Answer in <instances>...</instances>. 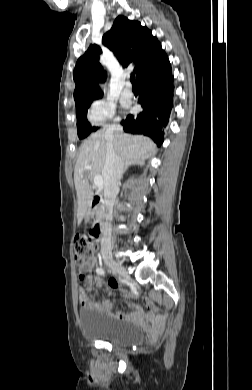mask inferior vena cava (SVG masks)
Wrapping results in <instances>:
<instances>
[{"mask_svg": "<svg viewBox=\"0 0 252 390\" xmlns=\"http://www.w3.org/2000/svg\"><path fill=\"white\" fill-rule=\"evenodd\" d=\"M122 127L119 125H112L109 127L105 136L108 139L107 142V153L106 160L102 170V176L104 179V201L106 210L111 215L113 212V207L117 193L119 191L118 185L123 174L124 161L119 155L114 151L112 144V136L114 132H121ZM101 252L110 253L111 252V228L105 226L103 231V236L101 239Z\"/></svg>", "mask_w": 252, "mask_h": 390, "instance_id": "602c4592", "label": "inferior vena cava"}]
</instances>
